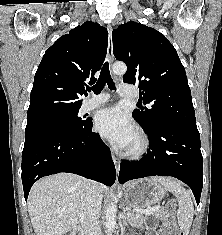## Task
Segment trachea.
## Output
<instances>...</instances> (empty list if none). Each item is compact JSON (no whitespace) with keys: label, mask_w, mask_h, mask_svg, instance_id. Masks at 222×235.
Instances as JSON below:
<instances>
[{"label":"trachea","mask_w":222,"mask_h":235,"mask_svg":"<svg viewBox=\"0 0 222 235\" xmlns=\"http://www.w3.org/2000/svg\"><path fill=\"white\" fill-rule=\"evenodd\" d=\"M106 83L111 90H115V84H114V82L111 78V75H110L108 62H105L104 66L101 70V73H100V76H99L97 83L92 87H88L87 90L88 91L92 90L94 92V94H99L102 91V89L104 88Z\"/></svg>","instance_id":"3493384b"}]
</instances>
